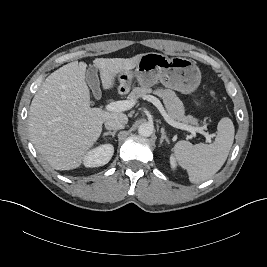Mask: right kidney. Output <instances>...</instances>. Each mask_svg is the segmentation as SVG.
<instances>
[{"mask_svg":"<svg viewBox=\"0 0 267 267\" xmlns=\"http://www.w3.org/2000/svg\"><path fill=\"white\" fill-rule=\"evenodd\" d=\"M114 147L111 144L100 145L86 153L83 164L86 167H99L107 164L112 158Z\"/></svg>","mask_w":267,"mask_h":267,"instance_id":"obj_1","label":"right kidney"}]
</instances>
